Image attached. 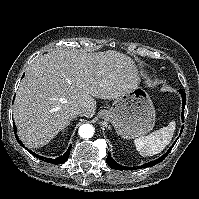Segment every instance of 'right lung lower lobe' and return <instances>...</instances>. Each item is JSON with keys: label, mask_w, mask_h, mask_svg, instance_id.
Here are the masks:
<instances>
[{"label": "right lung lower lobe", "mask_w": 199, "mask_h": 199, "mask_svg": "<svg viewBox=\"0 0 199 199\" xmlns=\"http://www.w3.org/2000/svg\"><path fill=\"white\" fill-rule=\"evenodd\" d=\"M14 133L16 134V126L14 124ZM17 141L19 142V144L24 147L23 143L19 140V138L17 137V135H15ZM25 148V147H24ZM70 149L71 146L68 148V150L60 157L56 158V159H50V158H45V157H41L37 154H35L34 152H31L34 156L38 157L39 159L48 162V163H52V164H62L65 161H67V159L69 158V154H70ZM28 150V149H27Z\"/></svg>", "instance_id": "98d812e1"}]
</instances>
